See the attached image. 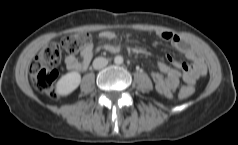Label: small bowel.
Listing matches in <instances>:
<instances>
[{
    "label": "small bowel",
    "mask_w": 238,
    "mask_h": 145,
    "mask_svg": "<svg viewBox=\"0 0 238 145\" xmlns=\"http://www.w3.org/2000/svg\"><path fill=\"white\" fill-rule=\"evenodd\" d=\"M157 36L164 41L170 42L190 61L191 66L175 59L171 55H167V60L169 62L184 71L182 77L189 86L194 85L199 77L205 75L206 65L202 57L197 49H195L185 38L176 33L164 30L158 31ZM100 37L104 42L96 46L93 45L92 42H88L82 48L80 58L74 54L68 55L65 58L67 68L74 72H82L89 67L93 56L100 50H106L111 53L120 51L121 43L113 31H103L100 33ZM158 70V72L151 73V78L155 84L156 90L161 95L171 98L179 85L181 73L178 70L171 68L165 62L158 63Z\"/></svg>",
    "instance_id": "1"
}]
</instances>
